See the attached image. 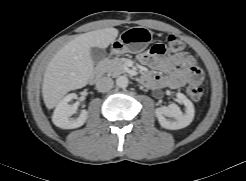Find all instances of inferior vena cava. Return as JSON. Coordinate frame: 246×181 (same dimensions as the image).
<instances>
[{"label": "inferior vena cava", "instance_id": "inferior-vena-cava-1", "mask_svg": "<svg viewBox=\"0 0 246 181\" xmlns=\"http://www.w3.org/2000/svg\"><path fill=\"white\" fill-rule=\"evenodd\" d=\"M114 82L110 77H101L96 82V89L99 92H105L113 88Z\"/></svg>", "mask_w": 246, "mask_h": 181}]
</instances>
